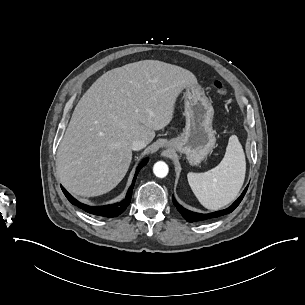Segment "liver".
<instances>
[{
    "label": "liver",
    "instance_id": "6515ba94",
    "mask_svg": "<svg viewBox=\"0 0 305 305\" xmlns=\"http://www.w3.org/2000/svg\"><path fill=\"white\" fill-rule=\"evenodd\" d=\"M195 76L159 61H141L104 74L83 95L59 145L58 177L77 195L107 193L124 178L130 143H150L174 118L178 97Z\"/></svg>",
    "mask_w": 305,
    "mask_h": 305
}]
</instances>
